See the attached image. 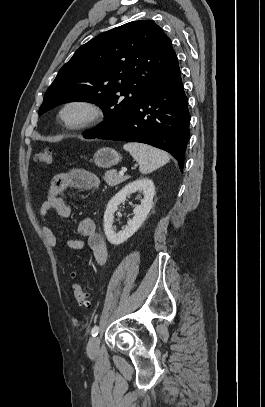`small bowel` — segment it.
I'll return each mask as SVG.
<instances>
[{"label": "small bowel", "instance_id": "small-bowel-1", "mask_svg": "<svg viewBox=\"0 0 265 407\" xmlns=\"http://www.w3.org/2000/svg\"><path fill=\"white\" fill-rule=\"evenodd\" d=\"M99 186L100 179L97 175L80 169L60 173L53 177L38 215L42 233L51 246L56 245V235L47 223L48 212L53 210L63 218H67L71 214L70 207L62 197V193L69 187L95 190ZM78 233L85 240L68 238L65 242L66 246L72 250H88L98 265H105L108 257L107 246L104 237L97 230L95 221L91 217L82 218L78 223Z\"/></svg>", "mask_w": 265, "mask_h": 407}]
</instances>
